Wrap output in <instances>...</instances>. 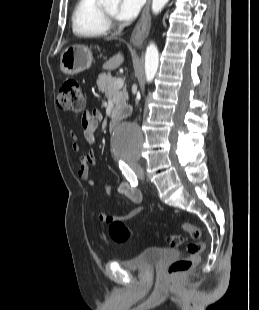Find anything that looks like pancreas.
Instances as JSON below:
<instances>
[{"mask_svg":"<svg viewBox=\"0 0 259 310\" xmlns=\"http://www.w3.org/2000/svg\"><path fill=\"white\" fill-rule=\"evenodd\" d=\"M114 79L110 74H101L97 79V86L100 92L104 93L106 97H110L115 104L112 111V122L117 119L125 117L127 114L124 112L127 106L128 93L126 89L120 91L113 87Z\"/></svg>","mask_w":259,"mask_h":310,"instance_id":"1","label":"pancreas"}]
</instances>
